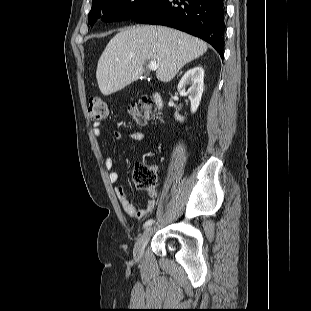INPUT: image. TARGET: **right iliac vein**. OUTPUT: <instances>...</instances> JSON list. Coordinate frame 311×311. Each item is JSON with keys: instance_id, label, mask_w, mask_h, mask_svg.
<instances>
[{"instance_id": "right-iliac-vein-1", "label": "right iliac vein", "mask_w": 311, "mask_h": 311, "mask_svg": "<svg viewBox=\"0 0 311 311\" xmlns=\"http://www.w3.org/2000/svg\"><path fill=\"white\" fill-rule=\"evenodd\" d=\"M151 233H152V227H148L145 229L143 234L137 240L134 246V258L136 261H139L141 259L144 248L150 239Z\"/></svg>"}]
</instances>
